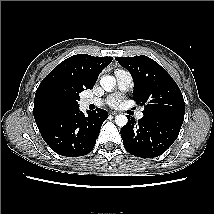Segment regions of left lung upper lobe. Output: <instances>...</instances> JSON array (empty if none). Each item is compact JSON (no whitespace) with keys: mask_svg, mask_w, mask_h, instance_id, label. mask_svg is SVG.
Returning a JSON list of instances; mask_svg holds the SVG:
<instances>
[{"mask_svg":"<svg viewBox=\"0 0 214 214\" xmlns=\"http://www.w3.org/2000/svg\"><path fill=\"white\" fill-rule=\"evenodd\" d=\"M132 75L133 100L145 105L143 115L184 120V99L173 78L153 59L141 55L116 57Z\"/></svg>","mask_w":214,"mask_h":214,"instance_id":"obj_1","label":"left lung upper lobe"}]
</instances>
